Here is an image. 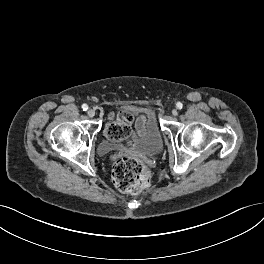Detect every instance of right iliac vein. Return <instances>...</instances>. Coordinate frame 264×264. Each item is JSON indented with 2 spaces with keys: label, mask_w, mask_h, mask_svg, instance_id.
Returning a JSON list of instances; mask_svg holds the SVG:
<instances>
[{
  "label": "right iliac vein",
  "mask_w": 264,
  "mask_h": 264,
  "mask_svg": "<svg viewBox=\"0 0 264 264\" xmlns=\"http://www.w3.org/2000/svg\"><path fill=\"white\" fill-rule=\"evenodd\" d=\"M87 115L89 116V117H94L95 116V111L93 110V109H89L88 111H87Z\"/></svg>",
  "instance_id": "obj_1"
}]
</instances>
